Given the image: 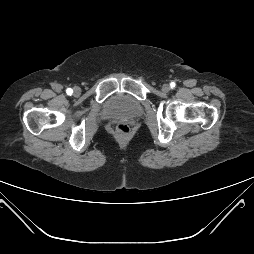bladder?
Masks as SVG:
<instances>
[{
    "mask_svg": "<svg viewBox=\"0 0 254 254\" xmlns=\"http://www.w3.org/2000/svg\"><path fill=\"white\" fill-rule=\"evenodd\" d=\"M102 114L105 118L133 119L143 114V107L136 98L128 94L116 93L106 99Z\"/></svg>",
    "mask_w": 254,
    "mask_h": 254,
    "instance_id": "bladder-1",
    "label": "bladder"
}]
</instances>
